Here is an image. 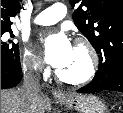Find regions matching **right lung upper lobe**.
Instances as JSON below:
<instances>
[{"mask_svg":"<svg viewBox=\"0 0 123 113\" xmlns=\"http://www.w3.org/2000/svg\"><path fill=\"white\" fill-rule=\"evenodd\" d=\"M20 0H1V29L11 28V17L20 10Z\"/></svg>","mask_w":123,"mask_h":113,"instance_id":"cb5924a9","label":"right lung upper lobe"}]
</instances>
